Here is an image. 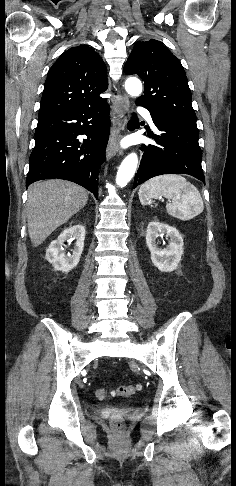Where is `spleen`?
<instances>
[{
    "label": "spleen",
    "mask_w": 236,
    "mask_h": 486,
    "mask_svg": "<svg viewBox=\"0 0 236 486\" xmlns=\"http://www.w3.org/2000/svg\"><path fill=\"white\" fill-rule=\"evenodd\" d=\"M138 195L142 205H151L153 199L164 196L170 200L166 205L167 212L182 220H190L204 209L198 189L181 175L154 177L141 185Z\"/></svg>",
    "instance_id": "1"
}]
</instances>
